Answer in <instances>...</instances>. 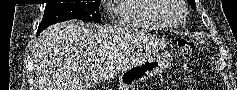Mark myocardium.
I'll return each instance as SVG.
<instances>
[{
  "instance_id": "myocardium-1",
  "label": "myocardium",
  "mask_w": 237,
  "mask_h": 90,
  "mask_svg": "<svg viewBox=\"0 0 237 90\" xmlns=\"http://www.w3.org/2000/svg\"><path fill=\"white\" fill-rule=\"evenodd\" d=\"M168 2H173L176 5H170V8H161V11H155V18L161 24V26L170 31L181 29L187 19V8L184 0H156V3H164L166 6ZM173 15H181L180 20L175 25H169L166 23L167 18H172Z\"/></svg>"
}]
</instances>
